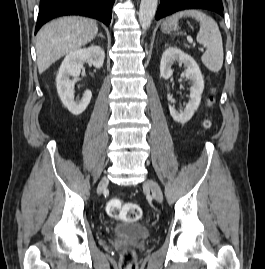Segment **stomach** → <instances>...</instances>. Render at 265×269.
Segmentation results:
<instances>
[{
    "mask_svg": "<svg viewBox=\"0 0 265 269\" xmlns=\"http://www.w3.org/2000/svg\"><path fill=\"white\" fill-rule=\"evenodd\" d=\"M161 30L165 33H169L171 31V27L168 23H163Z\"/></svg>",
    "mask_w": 265,
    "mask_h": 269,
    "instance_id": "0dacf381",
    "label": "stomach"
}]
</instances>
